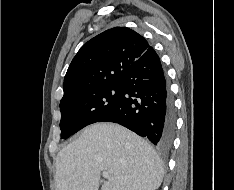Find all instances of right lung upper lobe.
<instances>
[{
    "label": "right lung upper lobe",
    "mask_w": 234,
    "mask_h": 190,
    "mask_svg": "<svg viewBox=\"0 0 234 190\" xmlns=\"http://www.w3.org/2000/svg\"><path fill=\"white\" fill-rule=\"evenodd\" d=\"M150 47L144 37L126 27H114L92 38L81 47L67 70L61 102L118 84L127 68Z\"/></svg>",
    "instance_id": "right-lung-upper-lobe-1"
}]
</instances>
